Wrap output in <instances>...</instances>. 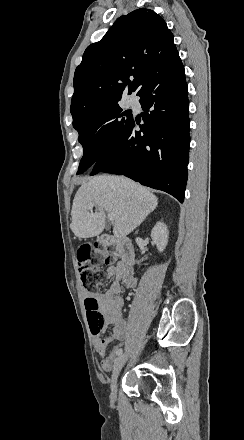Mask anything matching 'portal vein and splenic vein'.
<instances>
[{"label":"portal vein and splenic vein","mask_w":244,"mask_h":440,"mask_svg":"<svg viewBox=\"0 0 244 440\" xmlns=\"http://www.w3.org/2000/svg\"><path fill=\"white\" fill-rule=\"evenodd\" d=\"M93 206H89L88 210H92ZM108 220H110V222H114L115 220V216L114 214H108Z\"/></svg>","instance_id":"obj_1"}]
</instances>
